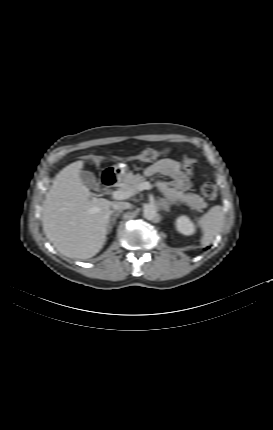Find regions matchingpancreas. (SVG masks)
<instances>
[{
    "label": "pancreas",
    "mask_w": 273,
    "mask_h": 430,
    "mask_svg": "<svg viewBox=\"0 0 273 430\" xmlns=\"http://www.w3.org/2000/svg\"><path fill=\"white\" fill-rule=\"evenodd\" d=\"M145 178L139 174L134 175L133 173H127L121 184L120 190L126 191L129 189H135L138 192L137 187L143 183ZM165 182L159 184L160 190L168 201L171 203L179 202L189 206L191 209L198 212H202L203 208H206L208 204L204 201V198L194 193H184L173 188L166 187Z\"/></svg>",
    "instance_id": "obj_1"
}]
</instances>
